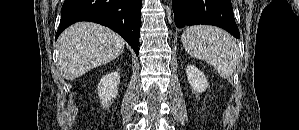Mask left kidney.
Returning a JSON list of instances; mask_svg holds the SVG:
<instances>
[{"instance_id":"5707ae66","label":"left kidney","mask_w":299,"mask_h":130,"mask_svg":"<svg viewBox=\"0 0 299 130\" xmlns=\"http://www.w3.org/2000/svg\"><path fill=\"white\" fill-rule=\"evenodd\" d=\"M186 74L188 82L194 91L201 93L208 87L205 75L197 67L188 65Z\"/></svg>"}]
</instances>
